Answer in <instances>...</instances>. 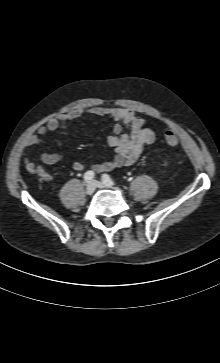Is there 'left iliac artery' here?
<instances>
[{
	"instance_id": "left-iliac-artery-1",
	"label": "left iliac artery",
	"mask_w": 220,
	"mask_h": 363,
	"mask_svg": "<svg viewBox=\"0 0 220 363\" xmlns=\"http://www.w3.org/2000/svg\"><path fill=\"white\" fill-rule=\"evenodd\" d=\"M102 181L107 184V185H114V181L112 180V178L108 175V174H103L102 175Z\"/></svg>"
}]
</instances>
